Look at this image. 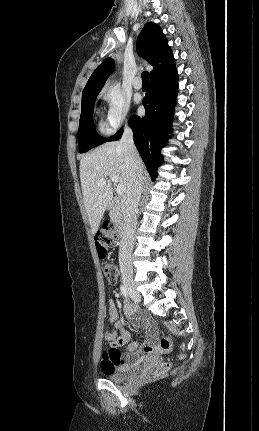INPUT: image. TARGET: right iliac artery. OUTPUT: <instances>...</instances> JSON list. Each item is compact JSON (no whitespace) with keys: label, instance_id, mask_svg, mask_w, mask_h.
Wrapping results in <instances>:
<instances>
[{"label":"right iliac artery","instance_id":"1","mask_svg":"<svg viewBox=\"0 0 259 431\" xmlns=\"http://www.w3.org/2000/svg\"><path fill=\"white\" fill-rule=\"evenodd\" d=\"M120 290H121L122 295H123L125 298H127V297H128V291H127V289L125 288V286H124V285H121V286H120Z\"/></svg>","mask_w":259,"mask_h":431}]
</instances>
